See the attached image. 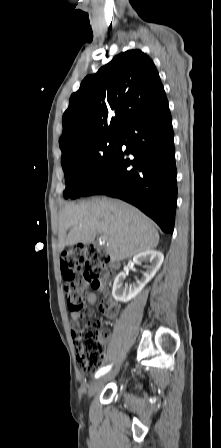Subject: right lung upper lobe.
<instances>
[{
  "mask_svg": "<svg viewBox=\"0 0 221 448\" xmlns=\"http://www.w3.org/2000/svg\"><path fill=\"white\" fill-rule=\"evenodd\" d=\"M163 97V85L149 56L140 50L115 56L71 95L59 139L62 158L94 139L119 134L131 118Z\"/></svg>",
  "mask_w": 221,
  "mask_h": 448,
  "instance_id": "obj_1",
  "label": "right lung upper lobe"
}]
</instances>
